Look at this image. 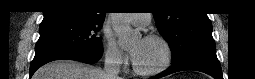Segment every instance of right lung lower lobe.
I'll return each mask as SVG.
<instances>
[{
	"label": "right lung lower lobe",
	"instance_id": "1",
	"mask_svg": "<svg viewBox=\"0 0 255 79\" xmlns=\"http://www.w3.org/2000/svg\"><path fill=\"white\" fill-rule=\"evenodd\" d=\"M101 56L102 53L93 54L89 52H78L69 50H47L38 52L35 54V57L30 65V78L39 67L54 60L69 59L93 64L97 62L101 58Z\"/></svg>",
	"mask_w": 255,
	"mask_h": 79
}]
</instances>
